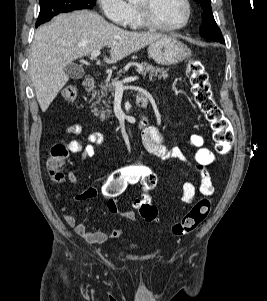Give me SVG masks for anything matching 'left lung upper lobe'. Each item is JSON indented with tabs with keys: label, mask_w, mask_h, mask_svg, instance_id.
I'll list each match as a JSON object with an SVG mask.
<instances>
[{
	"label": "left lung upper lobe",
	"mask_w": 267,
	"mask_h": 301,
	"mask_svg": "<svg viewBox=\"0 0 267 301\" xmlns=\"http://www.w3.org/2000/svg\"><path fill=\"white\" fill-rule=\"evenodd\" d=\"M203 9L202 25L200 27V35L205 39L217 42H224L221 30L217 26L211 7V0H194Z\"/></svg>",
	"instance_id": "left-lung-upper-lobe-1"
}]
</instances>
